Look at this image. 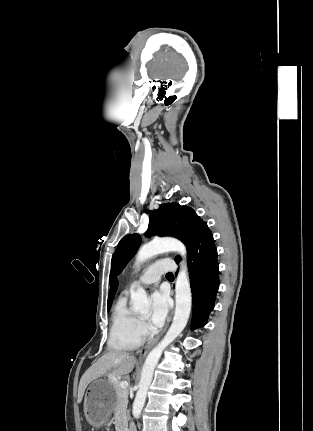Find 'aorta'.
<instances>
[{
	"label": "aorta",
	"mask_w": 313,
	"mask_h": 431,
	"mask_svg": "<svg viewBox=\"0 0 313 431\" xmlns=\"http://www.w3.org/2000/svg\"><path fill=\"white\" fill-rule=\"evenodd\" d=\"M169 251L178 252L182 256V265L178 273L175 285L176 308L172 324L164 338L149 352L143 365L141 379L138 385L132 414L139 418L144 407L146 396L152 382L154 370L159 362L164 349L170 345L184 330L191 312L192 295L190 281L186 266V247L175 238L154 239L148 244L143 245L136 255V266L149 260L150 258ZM133 308L135 311L147 312L149 310V300L146 291L142 287L131 295Z\"/></svg>",
	"instance_id": "1"
}]
</instances>
